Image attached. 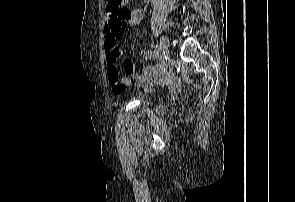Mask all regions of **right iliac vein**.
<instances>
[{
    "mask_svg": "<svg viewBox=\"0 0 295 202\" xmlns=\"http://www.w3.org/2000/svg\"><path fill=\"white\" fill-rule=\"evenodd\" d=\"M160 46L164 53L169 52V42L168 38L165 35H162L160 38Z\"/></svg>",
    "mask_w": 295,
    "mask_h": 202,
    "instance_id": "63e3f726",
    "label": "right iliac vein"
}]
</instances>
